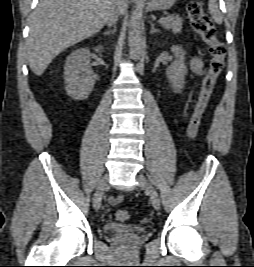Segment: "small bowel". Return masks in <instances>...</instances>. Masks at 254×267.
Here are the masks:
<instances>
[{
    "label": "small bowel",
    "instance_id": "1",
    "mask_svg": "<svg viewBox=\"0 0 254 267\" xmlns=\"http://www.w3.org/2000/svg\"><path fill=\"white\" fill-rule=\"evenodd\" d=\"M190 66H191L192 71L198 75H203L205 72L203 62L197 56H195L191 59ZM122 199H123V196L111 197L110 203L111 204H118L122 201Z\"/></svg>",
    "mask_w": 254,
    "mask_h": 267
}]
</instances>
